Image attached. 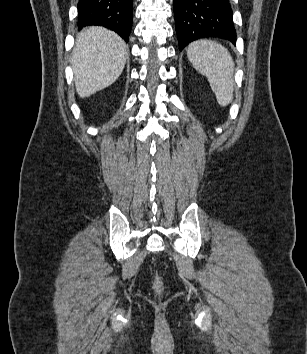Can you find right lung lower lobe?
<instances>
[{
  "mask_svg": "<svg viewBox=\"0 0 307 354\" xmlns=\"http://www.w3.org/2000/svg\"><path fill=\"white\" fill-rule=\"evenodd\" d=\"M78 28L100 25L128 41L132 26L133 0H79Z\"/></svg>",
  "mask_w": 307,
  "mask_h": 354,
  "instance_id": "1",
  "label": "right lung lower lobe"
}]
</instances>
